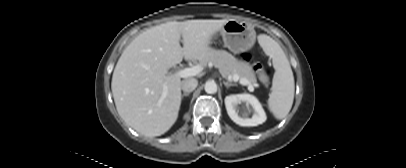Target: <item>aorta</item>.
<instances>
[{
    "instance_id": "1",
    "label": "aorta",
    "mask_w": 406,
    "mask_h": 168,
    "mask_svg": "<svg viewBox=\"0 0 406 168\" xmlns=\"http://www.w3.org/2000/svg\"><path fill=\"white\" fill-rule=\"evenodd\" d=\"M204 89L208 94H214L217 92V84L215 81L210 80L205 83Z\"/></svg>"
}]
</instances>
